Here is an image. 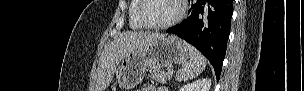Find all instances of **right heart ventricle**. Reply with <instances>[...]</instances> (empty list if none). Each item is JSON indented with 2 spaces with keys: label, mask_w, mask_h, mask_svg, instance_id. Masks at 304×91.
Listing matches in <instances>:
<instances>
[{
  "label": "right heart ventricle",
  "mask_w": 304,
  "mask_h": 91,
  "mask_svg": "<svg viewBox=\"0 0 304 91\" xmlns=\"http://www.w3.org/2000/svg\"><path fill=\"white\" fill-rule=\"evenodd\" d=\"M139 7L138 0L131 1L130 7H129V25L132 29H143L144 26L140 23L138 17H137V10Z\"/></svg>",
  "instance_id": "1"
}]
</instances>
